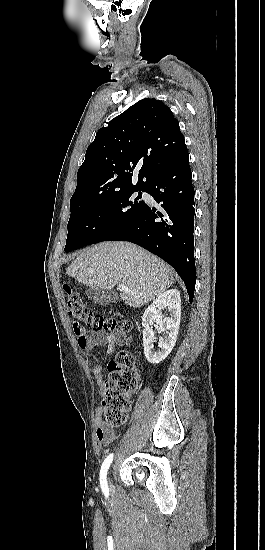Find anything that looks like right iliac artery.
<instances>
[{
  "label": "right iliac artery",
  "mask_w": 265,
  "mask_h": 550,
  "mask_svg": "<svg viewBox=\"0 0 265 550\" xmlns=\"http://www.w3.org/2000/svg\"><path fill=\"white\" fill-rule=\"evenodd\" d=\"M112 460H113V453L110 454L104 460V462L101 466V470H100V485H101V489H102L104 494H108V492H109L106 476H107V471L109 469V466L112 463Z\"/></svg>",
  "instance_id": "1"
}]
</instances>
